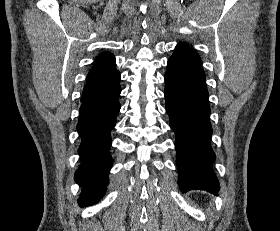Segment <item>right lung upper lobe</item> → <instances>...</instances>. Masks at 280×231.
<instances>
[{
  "mask_svg": "<svg viewBox=\"0 0 280 231\" xmlns=\"http://www.w3.org/2000/svg\"><path fill=\"white\" fill-rule=\"evenodd\" d=\"M120 73L115 68V57L104 52L96 57L89 71L82 98H90L119 86Z\"/></svg>",
  "mask_w": 280,
  "mask_h": 231,
  "instance_id": "1",
  "label": "right lung upper lobe"
}]
</instances>
